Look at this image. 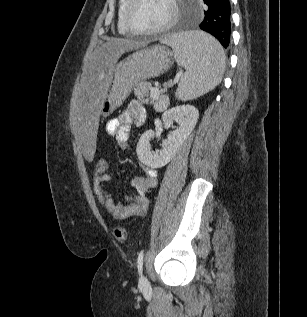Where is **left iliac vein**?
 <instances>
[{
    "mask_svg": "<svg viewBox=\"0 0 307 317\" xmlns=\"http://www.w3.org/2000/svg\"><path fill=\"white\" fill-rule=\"evenodd\" d=\"M139 287L144 290H147L150 288V284L144 275H141L139 279Z\"/></svg>",
    "mask_w": 307,
    "mask_h": 317,
    "instance_id": "1",
    "label": "left iliac vein"
}]
</instances>
